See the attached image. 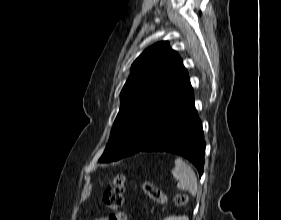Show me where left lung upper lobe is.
<instances>
[{"mask_svg": "<svg viewBox=\"0 0 281 220\" xmlns=\"http://www.w3.org/2000/svg\"><path fill=\"white\" fill-rule=\"evenodd\" d=\"M190 85L187 70L167 41L146 49L132 64L121 106L99 162L135 154L149 143L167 111Z\"/></svg>", "mask_w": 281, "mask_h": 220, "instance_id": "left-lung-upper-lobe-1", "label": "left lung upper lobe"}]
</instances>
